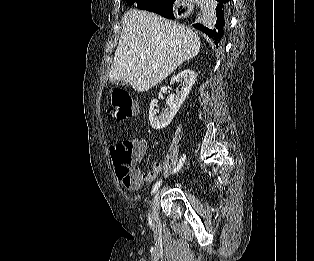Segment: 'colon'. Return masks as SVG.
<instances>
[{
  "instance_id": "5ec220e1",
  "label": "colon",
  "mask_w": 314,
  "mask_h": 261,
  "mask_svg": "<svg viewBox=\"0 0 314 261\" xmlns=\"http://www.w3.org/2000/svg\"><path fill=\"white\" fill-rule=\"evenodd\" d=\"M111 116L122 122L133 117L137 112V103L128 91L115 88L109 93ZM112 158L119 180L127 188L138 187L144 180L142 173L134 168V162L143 152L141 141L127 138L112 147Z\"/></svg>"
}]
</instances>
